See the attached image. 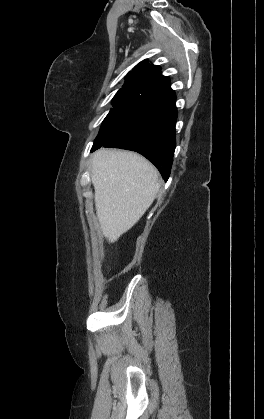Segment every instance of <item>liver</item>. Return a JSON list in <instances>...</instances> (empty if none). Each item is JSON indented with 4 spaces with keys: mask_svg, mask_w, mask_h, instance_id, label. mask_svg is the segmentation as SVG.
Wrapping results in <instances>:
<instances>
[{
    "mask_svg": "<svg viewBox=\"0 0 264 419\" xmlns=\"http://www.w3.org/2000/svg\"><path fill=\"white\" fill-rule=\"evenodd\" d=\"M91 181L97 219L109 243L138 222L160 188L156 168L143 156L105 148L93 155Z\"/></svg>",
    "mask_w": 264,
    "mask_h": 419,
    "instance_id": "liver-1",
    "label": "liver"
}]
</instances>
